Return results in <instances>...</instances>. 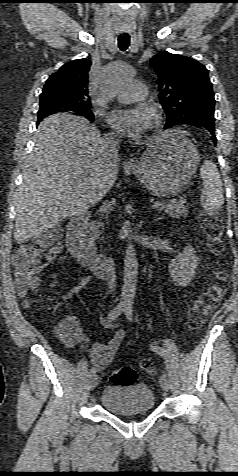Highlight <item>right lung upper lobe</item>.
I'll return each instance as SVG.
<instances>
[{"instance_id": "cb5924a9", "label": "right lung upper lobe", "mask_w": 238, "mask_h": 476, "mask_svg": "<svg viewBox=\"0 0 238 476\" xmlns=\"http://www.w3.org/2000/svg\"><path fill=\"white\" fill-rule=\"evenodd\" d=\"M90 65L91 61L86 58L64 64L46 81L40 102H54L68 110L90 106L88 94Z\"/></svg>"}]
</instances>
